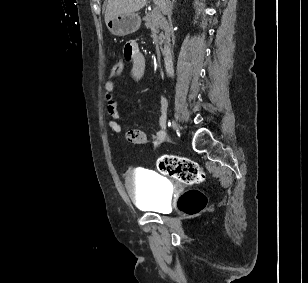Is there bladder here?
Masks as SVG:
<instances>
[{"label":"bladder","instance_id":"obj_1","mask_svg":"<svg viewBox=\"0 0 308 283\" xmlns=\"http://www.w3.org/2000/svg\"><path fill=\"white\" fill-rule=\"evenodd\" d=\"M125 188L139 208L154 212L166 210L169 187L162 176L147 169H135L127 173Z\"/></svg>","mask_w":308,"mask_h":283}]
</instances>
